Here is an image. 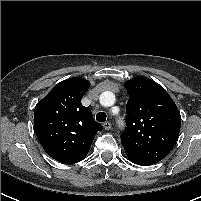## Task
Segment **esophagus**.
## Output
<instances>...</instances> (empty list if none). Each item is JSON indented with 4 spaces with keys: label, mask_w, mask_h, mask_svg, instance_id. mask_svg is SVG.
Instances as JSON below:
<instances>
[{
    "label": "esophagus",
    "mask_w": 201,
    "mask_h": 201,
    "mask_svg": "<svg viewBox=\"0 0 201 201\" xmlns=\"http://www.w3.org/2000/svg\"><path fill=\"white\" fill-rule=\"evenodd\" d=\"M103 127H104L105 130H110L111 127H112V125H111L110 122H105V123L103 124Z\"/></svg>",
    "instance_id": "obj_1"
}]
</instances>
